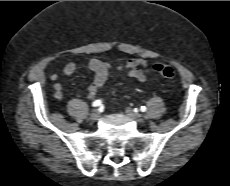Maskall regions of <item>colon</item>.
Returning a JSON list of instances; mask_svg holds the SVG:
<instances>
[{"label": "colon", "mask_w": 230, "mask_h": 186, "mask_svg": "<svg viewBox=\"0 0 230 186\" xmlns=\"http://www.w3.org/2000/svg\"><path fill=\"white\" fill-rule=\"evenodd\" d=\"M152 70L167 79H172L175 76L173 68L169 65L154 64Z\"/></svg>", "instance_id": "1"}]
</instances>
